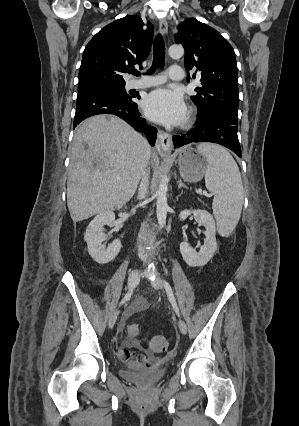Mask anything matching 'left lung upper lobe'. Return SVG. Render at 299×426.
Returning a JSON list of instances; mask_svg holds the SVG:
<instances>
[{
	"label": "left lung upper lobe",
	"instance_id": "1",
	"mask_svg": "<svg viewBox=\"0 0 299 426\" xmlns=\"http://www.w3.org/2000/svg\"><path fill=\"white\" fill-rule=\"evenodd\" d=\"M177 29L174 38L185 49L186 71L195 70L192 78L201 76L202 87L191 96L199 114L218 110L237 118V64L232 46L218 31L194 18H186Z\"/></svg>",
	"mask_w": 299,
	"mask_h": 426
}]
</instances>
